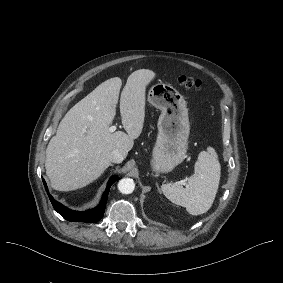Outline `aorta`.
<instances>
[{"label":"aorta","mask_w":283,"mask_h":283,"mask_svg":"<svg viewBox=\"0 0 283 283\" xmlns=\"http://www.w3.org/2000/svg\"><path fill=\"white\" fill-rule=\"evenodd\" d=\"M134 188L135 183L130 178H123L118 182V189L122 194H131Z\"/></svg>","instance_id":"obj_1"}]
</instances>
